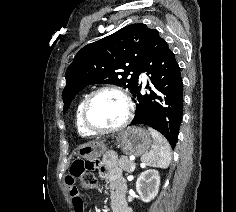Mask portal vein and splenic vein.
I'll list each match as a JSON object with an SVG mask.
<instances>
[{
	"mask_svg": "<svg viewBox=\"0 0 236 212\" xmlns=\"http://www.w3.org/2000/svg\"><path fill=\"white\" fill-rule=\"evenodd\" d=\"M134 159H135V157H130V160H134ZM135 167H136V166H135V164H134V165H132V167H131V168H132V170H134V169H135Z\"/></svg>",
	"mask_w": 236,
	"mask_h": 212,
	"instance_id": "obj_1",
	"label": "portal vein and splenic vein"
}]
</instances>
